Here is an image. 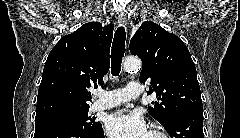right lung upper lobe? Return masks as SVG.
<instances>
[{
  "label": "right lung upper lobe",
  "instance_id": "cb5924a9",
  "mask_svg": "<svg viewBox=\"0 0 240 138\" xmlns=\"http://www.w3.org/2000/svg\"><path fill=\"white\" fill-rule=\"evenodd\" d=\"M113 25L89 22L63 36L50 51L38 90L36 115L89 107L87 88L103 85L110 67Z\"/></svg>",
  "mask_w": 240,
  "mask_h": 138
}]
</instances>
